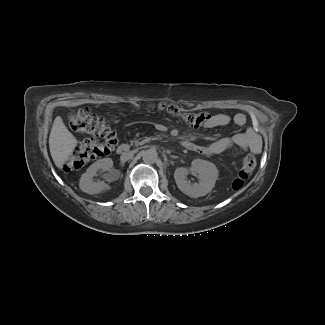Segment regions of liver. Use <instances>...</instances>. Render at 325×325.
I'll list each match as a JSON object with an SVG mask.
<instances>
[{"label":"liver","mask_w":325,"mask_h":325,"mask_svg":"<svg viewBox=\"0 0 325 325\" xmlns=\"http://www.w3.org/2000/svg\"><path fill=\"white\" fill-rule=\"evenodd\" d=\"M76 137L67 129L61 117H56L49 137V148L55 165L62 169L77 146Z\"/></svg>","instance_id":"obj_1"}]
</instances>
